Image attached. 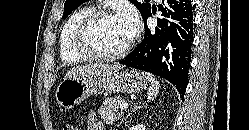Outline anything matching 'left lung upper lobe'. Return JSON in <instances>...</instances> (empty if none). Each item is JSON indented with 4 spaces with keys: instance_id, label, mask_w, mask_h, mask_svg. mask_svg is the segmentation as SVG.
Here are the masks:
<instances>
[{
    "instance_id": "left-lung-upper-lobe-1",
    "label": "left lung upper lobe",
    "mask_w": 249,
    "mask_h": 130,
    "mask_svg": "<svg viewBox=\"0 0 249 130\" xmlns=\"http://www.w3.org/2000/svg\"><path fill=\"white\" fill-rule=\"evenodd\" d=\"M85 0H66L64 4V13L62 18H65L68 16L73 10L78 8L81 4H83ZM131 3H133L138 10L140 11L142 18L144 19L151 11V5L146 3H140L136 0H130Z\"/></svg>"
}]
</instances>
